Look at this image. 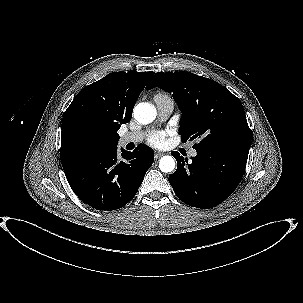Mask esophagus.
<instances>
[{
  "label": "esophagus",
  "instance_id": "1",
  "mask_svg": "<svg viewBox=\"0 0 303 303\" xmlns=\"http://www.w3.org/2000/svg\"><path fill=\"white\" fill-rule=\"evenodd\" d=\"M161 156H163V153H162V152H158V151H155V152H154V157H155V159H158V158H160Z\"/></svg>",
  "mask_w": 303,
  "mask_h": 303
}]
</instances>
